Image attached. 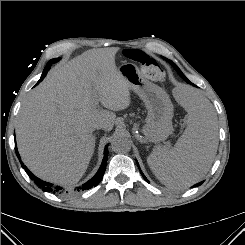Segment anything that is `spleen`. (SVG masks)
<instances>
[{
    "mask_svg": "<svg viewBox=\"0 0 245 245\" xmlns=\"http://www.w3.org/2000/svg\"><path fill=\"white\" fill-rule=\"evenodd\" d=\"M183 106L187 127L170 150L155 147L147 163L156 178L171 189H183L208 172L218 147L217 117L207 98L186 88Z\"/></svg>",
    "mask_w": 245,
    "mask_h": 245,
    "instance_id": "1",
    "label": "spleen"
}]
</instances>
